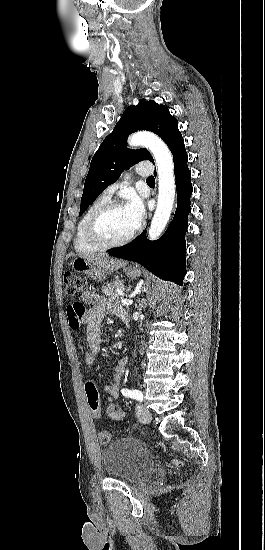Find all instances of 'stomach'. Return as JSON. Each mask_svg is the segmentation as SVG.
I'll list each match as a JSON object with an SVG mask.
<instances>
[{"label": "stomach", "instance_id": "0dacf381", "mask_svg": "<svg viewBox=\"0 0 265 550\" xmlns=\"http://www.w3.org/2000/svg\"><path fill=\"white\" fill-rule=\"evenodd\" d=\"M71 266L75 271L89 275L94 279L101 280L104 277V272L99 265L83 257L75 258L71 262ZM125 273L129 278L135 279L139 277L140 270L136 267H127L125 268Z\"/></svg>", "mask_w": 265, "mask_h": 550}]
</instances>
